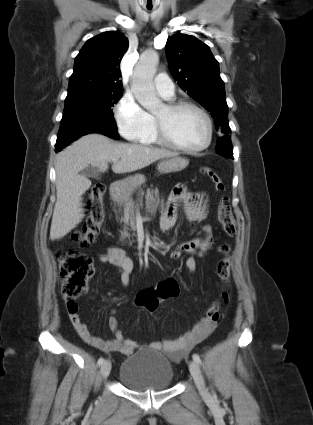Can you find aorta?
<instances>
[{
    "instance_id": "762f6f07",
    "label": "aorta",
    "mask_w": 313,
    "mask_h": 425,
    "mask_svg": "<svg viewBox=\"0 0 313 425\" xmlns=\"http://www.w3.org/2000/svg\"><path fill=\"white\" fill-rule=\"evenodd\" d=\"M158 63L157 52L147 50L141 55L133 72L132 91L139 104L150 112H154L161 105L153 84Z\"/></svg>"
}]
</instances>
